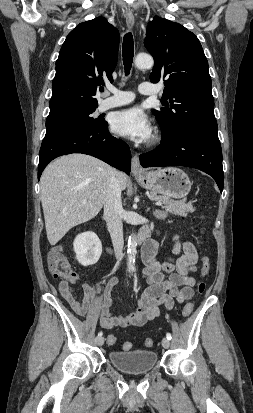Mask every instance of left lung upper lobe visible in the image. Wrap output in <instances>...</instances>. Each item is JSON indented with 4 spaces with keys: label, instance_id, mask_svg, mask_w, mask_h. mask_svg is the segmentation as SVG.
Here are the masks:
<instances>
[{
    "label": "left lung upper lobe",
    "instance_id": "5c2ea615",
    "mask_svg": "<svg viewBox=\"0 0 253 413\" xmlns=\"http://www.w3.org/2000/svg\"><path fill=\"white\" fill-rule=\"evenodd\" d=\"M145 47L154 57L150 81H164L166 108L153 110L163 142L188 130L217 133L208 62L198 38L184 26L155 16L147 27Z\"/></svg>",
    "mask_w": 253,
    "mask_h": 413
}]
</instances>
